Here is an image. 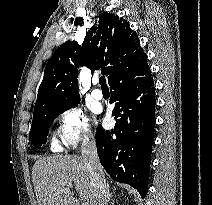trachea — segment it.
I'll return each instance as SVG.
<instances>
[{"mask_svg": "<svg viewBox=\"0 0 212 205\" xmlns=\"http://www.w3.org/2000/svg\"><path fill=\"white\" fill-rule=\"evenodd\" d=\"M99 83H100V85H101L102 88H107L106 79H105L104 76H101L99 78Z\"/></svg>", "mask_w": 212, "mask_h": 205, "instance_id": "3493384b", "label": "trachea"}]
</instances>
